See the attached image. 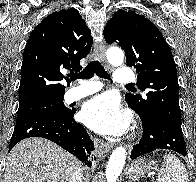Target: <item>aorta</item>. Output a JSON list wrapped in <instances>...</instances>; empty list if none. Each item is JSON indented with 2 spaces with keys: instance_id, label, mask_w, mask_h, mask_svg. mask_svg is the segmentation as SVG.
Returning <instances> with one entry per match:
<instances>
[{
  "instance_id": "aorta-1",
  "label": "aorta",
  "mask_w": 196,
  "mask_h": 182,
  "mask_svg": "<svg viewBox=\"0 0 196 182\" xmlns=\"http://www.w3.org/2000/svg\"><path fill=\"white\" fill-rule=\"evenodd\" d=\"M107 59L110 64L114 66L122 65L124 61V53L119 48H110L107 51ZM126 161V149L122 146L113 150L107 167H106V181L116 182Z\"/></svg>"
}]
</instances>
